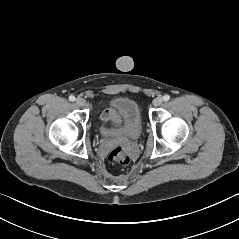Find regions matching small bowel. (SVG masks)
Instances as JSON below:
<instances>
[{"label": "small bowel", "mask_w": 239, "mask_h": 239, "mask_svg": "<svg viewBox=\"0 0 239 239\" xmlns=\"http://www.w3.org/2000/svg\"><path fill=\"white\" fill-rule=\"evenodd\" d=\"M102 119L104 121H111L113 123H118V117L116 112L113 109H106L102 114Z\"/></svg>", "instance_id": "obj_1"}]
</instances>
